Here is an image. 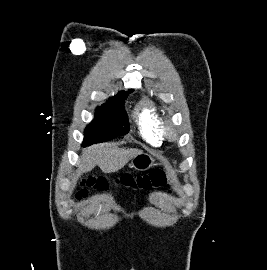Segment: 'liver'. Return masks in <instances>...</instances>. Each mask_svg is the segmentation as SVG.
<instances>
[{"label": "liver", "instance_id": "6515ba94", "mask_svg": "<svg viewBox=\"0 0 267 270\" xmlns=\"http://www.w3.org/2000/svg\"><path fill=\"white\" fill-rule=\"evenodd\" d=\"M140 153L141 150L120 149L112 143L94 145L83 151L79 171L88 172L99 165L104 173L116 172Z\"/></svg>", "mask_w": 267, "mask_h": 270}]
</instances>
